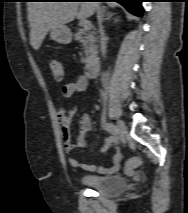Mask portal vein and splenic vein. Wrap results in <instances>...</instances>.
<instances>
[{"label": "portal vein and splenic vein", "instance_id": "portal-vein-and-splenic-vein-1", "mask_svg": "<svg viewBox=\"0 0 188 213\" xmlns=\"http://www.w3.org/2000/svg\"><path fill=\"white\" fill-rule=\"evenodd\" d=\"M91 26H92V24H91L90 21H88V20H84V21H83V27H84L85 29H88V28H90Z\"/></svg>", "mask_w": 188, "mask_h": 213}]
</instances>
